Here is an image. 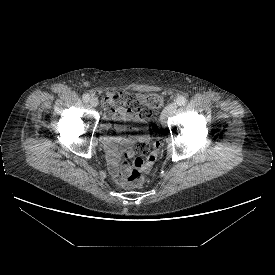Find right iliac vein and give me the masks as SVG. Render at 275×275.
Returning <instances> with one entry per match:
<instances>
[{
    "label": "right iliac vein",
    "mask_w": 275,
    "mask_h": 275,
    "mask_svg": "<svg viewBox=\"0 0 275 275\" xmlns=\"http://www.w3.org/2000/svg\"><path fill=\"white\" fill-rule=\"evenodd\" d=\"M89 103L92 107H96L98 105V100L97 98L95 97H92L90 100H89Z\"/></svg>",
    "instance_id": "1"
}]
</instances>
